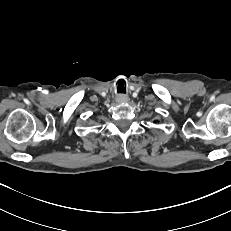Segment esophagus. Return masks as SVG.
<instances>
[{"mask_svg": "<svg viewBox=\"0 0 231 231\" xmlns=\"http://www.w3.org/2000/svg\"><path fill=\"white\" fill-rule=\"evenodd\" d=\"M128 100H129V97L127 95H119L117 97V101L119 103H126V102H128Z\"/></svg>", "mask_w": 231, "mask_h": 231, "instance_id": "esophagus-1", "label": "esophagus"}]
</instances>
